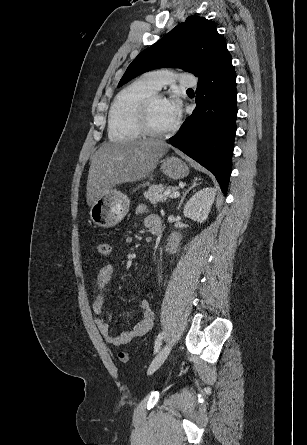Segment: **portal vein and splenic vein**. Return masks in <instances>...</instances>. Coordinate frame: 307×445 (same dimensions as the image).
<instances>
[{
	"mask_svg": "<svg viewBox=\"0 0 307 445\" xmlns=\"http://www.w3.org/2000/svg\"><path fill=\"white\" fill-rule=\"evenodd\" d=\"M170 198H176V196H180V192H171V194H169Z\"/></svg>",
	"mask_w": 307,
	"mask_h": 445,
	"instance_id": "portal-vein-and-splenic-vein-1",
	"label": "portal vein and splenic vein"
}]
</instances>
